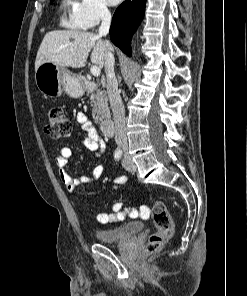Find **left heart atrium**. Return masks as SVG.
Listing matches in <instances>:
<instances>
[{"label": "left heart atrium", "instance_id": "1", "mask_svg": "<svg viewBox=\"0 0 247 296\" xmlns=\"http://www.w3.org/2000/svg\"><path fill=\"white\" fill-rule=\"evenodd\" d=\"M121 0H108V2L111 4V5H116L120 2Z\"/></svg>", "mask_w": 247, "mask_h": 296}]
</instances>
